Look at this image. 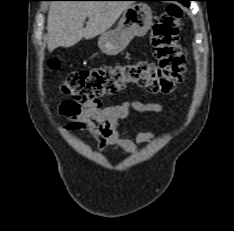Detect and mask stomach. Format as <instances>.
<instances>
[{"label":"stomach","instance_id":"stomach-1","mask_svg":"<svg viewBox=\"0 0 234 231\" xmlns=\"http://www.w3.org/2000/svg\"><path fill=\"white\" fill-rule=\"evenodd\" d=\"M152 24L151 8L144 3L132 4L123 11L115 29L100 35L98 46L107 55H117L135 36L146 35Z\"/></svg>","mask_w":234,"mask_h":231}]
</instances>
